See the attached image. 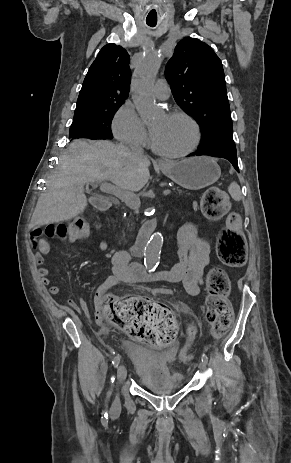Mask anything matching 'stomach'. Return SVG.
I'll use <instances>...</instances> for the list:
<instances>
[{"label":"stomach","instance_id":"stomach-1","mask_svg":"<svg viewBox=\"0 0 291 463\" xmlns=\"http://www.w3.org/2000/svg\"><path fill=\"white\" fill-rule=\"evenodd\" d=\"M161 170L175 183L190 190L208 187L215 183L221 175L219 165L207 156L167 162L161 166Z\"/></svg>","mask_w":291,"mask_h":463}]
</instances>
